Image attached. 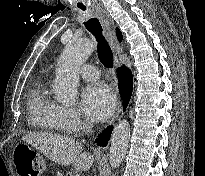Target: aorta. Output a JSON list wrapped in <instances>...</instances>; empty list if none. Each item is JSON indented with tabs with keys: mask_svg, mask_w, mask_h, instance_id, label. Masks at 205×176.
Returning a JSON list of instances; mask_svg holds the SVG:
<instances>
[{
	"mask_svg": "<svg viewBox=\"0 0 205 176\" xmlns=\"http://www.w3.org/2000/svg\"><path fill=\"white\" fill-rule=\"evenodd\" d=\"M94 49L93 43L88 39L72 40L61 54L56 70L53 85L58 100L73 103L77 97L79 85V70ZM130 139L129 122L123 120L114 128L110 146V165L117 168L127 152Z\"/></svg>",
	"mask_w": 205,
	"mask_h": 176,
	"instance_id": "1",
	"label": "aorta"
}]
</instances>
